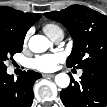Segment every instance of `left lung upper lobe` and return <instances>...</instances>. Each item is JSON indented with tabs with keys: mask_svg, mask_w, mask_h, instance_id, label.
Masks as SVG:
<instances>
[{
	"mask_svg": "<svg viewBox=\"0 0 107 107\" xmlns=\"http://www.w3.org/2000/svg\"><path fill=\"white\" fill-rule=\"evenodd\" d=\"M44 15L62 23L73 38L68 67L107 66V16L81 5Z\"/></svg>",
	"mask_w": 107,
	"mask_h": 107,
	"instance_id": "1",
	"label": "left lung upper lobe"
}]
</instances>
